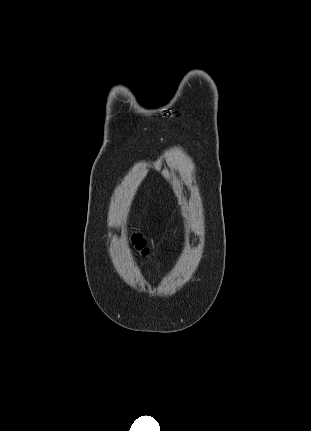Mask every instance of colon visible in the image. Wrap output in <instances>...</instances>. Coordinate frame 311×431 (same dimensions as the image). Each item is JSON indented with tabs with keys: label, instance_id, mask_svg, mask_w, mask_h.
<instances>
[{
	"label": "colon",
	"instance_id": "1",
	"mask_svg": "<svg viewBox=\"0 0 311 431\" xmlns=\"http://www.w3.org/2000/svg\"><path fill=\"white\" fill-rule=\"evenodd\" d=\"M133 244H134V247H135L136 251H138L142 255H147L148 254V248L146 247V243H145V241L141 237L134 236V238H133Z\"/></svg>",
	"mask_w": 311,
	"mask_h": 431
}]
</instances>
